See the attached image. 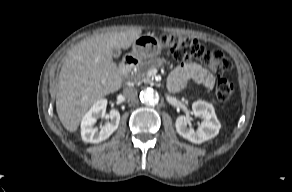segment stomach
Returning a JSON list of instances; mask_svg holds the SVG:
<instances>
[{
  "label": "stomach",
  "mask_w": 292,
  "mask_h": 192,
  "mask_svg": "<svg viewBox=\"0 0 292 192\" xmlns=\"http://www.w3.org/2000/svg\"><path fill=\"white\" fill-rule=\"evenodd\" d=\"M162 42L152 34L138 37L133 42L132 55L140 60L154 58L161 53Z\"/></svg>",
  "instance_id": "obj_1"
}]
</instances>
